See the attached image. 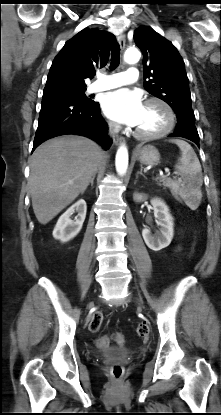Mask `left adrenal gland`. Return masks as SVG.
<instances>
[{
    "label": "left adrenal gland",
    "instance_id": "left-adrenal-gland-1",
    "mask_svg": "<svg viewBox=\"0 0 221 415\" xmlns=\"http://www.w3.org/2000/svg\"><path fill=\"white\" fill-rule=\"evenodd\" d=\"M143 175V173H142V166H141V169H140V172H138L137 174H136V179L138 178V175Z\"/></svg>",
    "mask_w": 221,
    "mask_h": 415
}]
</instances>
